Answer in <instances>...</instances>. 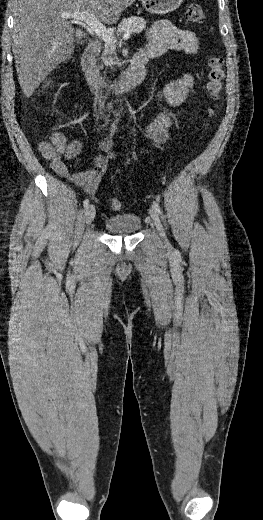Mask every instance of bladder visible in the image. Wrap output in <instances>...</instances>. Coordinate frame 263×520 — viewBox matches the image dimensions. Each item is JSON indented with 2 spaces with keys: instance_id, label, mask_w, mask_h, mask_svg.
<instances>
[{
  "instance_id": "bladder-1",
  "label": "bladder",
  "mask_w": 263,
  "mask_h": 520,
  "mask_svg": "<svg viewBox=\"0 0 263 520\" xmlns=\"http://www.w3.org/2000/svg\"><path fill=\"white\" fill-rule=\"evenodd\" d=\"M103 227L114 235L134 234L141 229L142 219L135 213L115 214L104 219Z\"/></svg>"
}]
</instances>
